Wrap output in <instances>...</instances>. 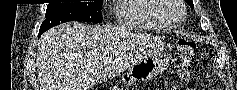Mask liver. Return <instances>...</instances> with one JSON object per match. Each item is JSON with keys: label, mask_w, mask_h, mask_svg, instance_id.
<instances>
[{"label": "liver", "mask_w": 237, "mask_h": 90, "mask_svg": "<svg viewBox=\"0 0 237 90\" xmlns=\"http://www.w3.org/2000/svg\"><path fill=\"white\" fill-rule=\"evenodd\" d=\"M120 50L116 28L68 22L41 36L37 56L43 90H89L112 78Z\"/></svg>", "instance_id": "6515ba94"}]
</instances>
